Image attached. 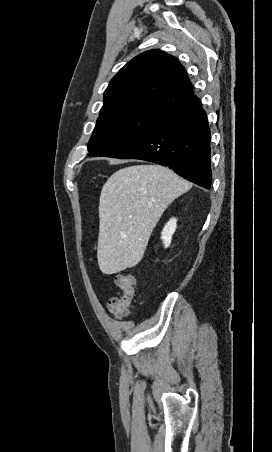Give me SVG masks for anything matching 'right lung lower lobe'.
<instances>
[{
	"label": "right lung lower lobe",
	"mask_w": 272,
	"mask_h": 452,
	"mask_svg": "<svg viewBox=\"0 0 272 452\" xmlns=\"http://www.w3.org/2000/svg\"><path fill=\"white\" fill-rule=\"evenodd\" d=\"M118 159H140L167 166L204 188L212 183L210 130L196 96L183 107L161 114Z\"/></svg>",
	"instance_id": "1"
}]
</instances>
